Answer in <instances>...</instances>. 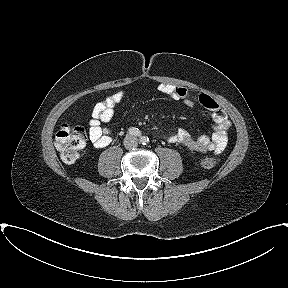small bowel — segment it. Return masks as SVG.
<instances>
[{
  "instance_id": "c3829d8e",
  "label": "small bowel",
  "mask_w": 288,
  "mask_h": 288,
  "mask_svg": "<svg viewBox=\"0 0 288 288\" xmlns=\"http://www.w3.org/2000/svg\"><path fill=\"white\" fill-rule=\"evenodd\" d=\"M158 90L175 101H180L187 106L199 104L211 113L214 123L212 136L201 135L194 138L187 130L179 129L169 137V142L179 143L191 153H221L227 145V133L231 128L227 114L220 105L209 95L199 94L193 96L182 86L162 83ZM125 93L116 92L108 96L104 101L97 103L92 111V119L89 122V138L97 148H104L112 143L111 131L104 126L114 116L115 107L123 101Z\"/></svg>"
}]
</instances>
